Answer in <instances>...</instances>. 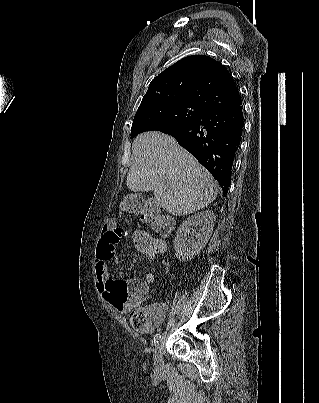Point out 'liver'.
Listing matches in <instances>:
<instances>
[{
  "label": "liver",
  "instance_id": "obj_1",
  "mask_svg": "<svg viewBox=\"0 0 319 403\" xmlns=\"http://www.w3.org/2000/svg\"><path fill=\"white\" fill-rule=\"evenodd\" d=\"M132 151L128 189L152 190L166 212L189 215L216 199L218 185L212 175L173 137L157 131L144 132L133 141Z\"/></svg>",
  "mask_w": 319,
  "mask_h": 403
}]
</instances>
